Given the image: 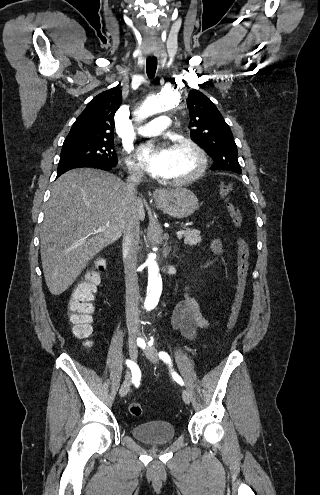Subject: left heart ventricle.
I'll return each mask as SVG.
<instances>
[{
    "instance_id": "obj_1",
    "label": "left heart ventricle",
    "mask_w": 320,
    "mask_h": 495,
    "mask_svg": "<svg viewBox=\"0 0 320 495\" xmlns=\"http://www.w3.org/2000/svg\"><path fill=\"white\" fill-rule=\"evenodd\" d=\"M169 149L171 163L167 178H170L171 180L179 179L195 169L196 159L191 151L185 147H174Z\"/></svg>"
}]
</instances>
